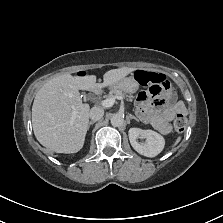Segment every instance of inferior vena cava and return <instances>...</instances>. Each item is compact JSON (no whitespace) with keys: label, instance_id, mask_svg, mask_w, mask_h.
Instances as JSON below:
<instances>
[{"label":"inferior vena cava","instance_id":"1","mask_svg":"<svg viewBox=\"0 0 223 223\" xmlns=\"http://www.w3.org/2000/svg\"><path fill=\"white\" fill-rule=\"evenodd\" d=\"M103 115H104L103 108L96 107V106L92 107L89 112V117L94 121L101 119L103 117Z\"/></svg>","mask_w":223,"mask_h":223}]
</instances>
